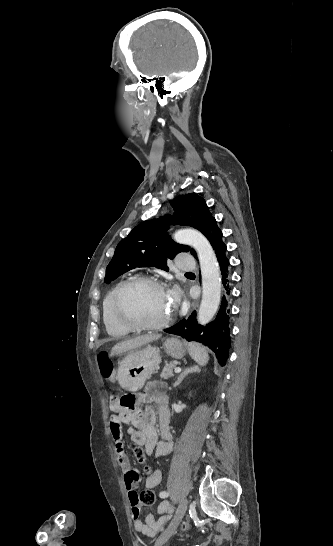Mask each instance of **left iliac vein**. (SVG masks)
Returning <instances> with one entry per match:
<instances>
[{
	"instance_id": "obj_1",
	"label": "left iliac vein",
	"mask_w": 333,
	"mask_h": 546,
	"mask_svg": "<svg viewBox=\"0 0 333 546\" xmlns=\"http://www.w3.org/2000/svg\"><path fill=\"white\" fill-rule=\"evenodd\" d=\"M187 506H188V500L185 499V498L182 499L181 502L178 505L176 513H175L171 523L169 524L168 528L157 539L156 544H155L156 546H161L162 544H164L172 536V534L175 532V530L179 526L182 518L184 517V514H185V512L187 510Z\"/></svg>"
}]
</instances>
